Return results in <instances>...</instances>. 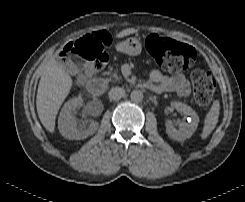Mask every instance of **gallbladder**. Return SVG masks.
<instances>
[{"mask_svg": "<svg viewBox=\"0 0 245 202\" xmlns=\"http://www.w3.org/2000/svg\"><path fill=\"white\" fill-rule=\"evenodd\" d=\"M77 64H78L79 66H81L82 60H81L80 58H77Z\"/></svg>", "mask_w": 245, "mask_h": 202, "instance_id": "1", "label": "gallbladder"}]
</instances>
